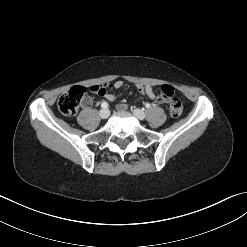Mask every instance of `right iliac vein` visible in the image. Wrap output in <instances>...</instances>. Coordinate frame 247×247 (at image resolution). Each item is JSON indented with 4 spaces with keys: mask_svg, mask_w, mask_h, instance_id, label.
Wrapping results in <instances>:
<instances>
[{
    "mask_svg": "<svg viewBox=\"0 0 247 247\" xmlns=\"http://www.w3.org/2000/svg\"><path fill=\"white\" fill-rule=\"evenodd\" d=\"M99 115L102 119H106L109 117L110 115V112L108 109H101L100 112H99Z\"/></svg>",
    "mask_w": 247,
    "mask_h": 247,
    "instance_id": "63e3f726",
    "label": "right iliac vein"
}]
</instances>
